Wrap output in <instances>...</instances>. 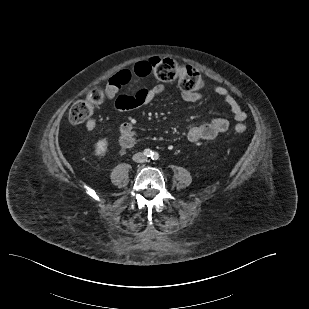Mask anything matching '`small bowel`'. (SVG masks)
Listing matches in <instances>:
<instances>
[{
  "instance_id": "small-bowel-1",
  "label": "small bowel",
  "mask_w": 309,
  "mask_h": 309,
  "mask_svg": "<svg viewBox=\"0 0 309 309\" xmlns=\"http://www.w3.org/2000/svg\"><path fill=\"white\" fill-rule=\"evenodd\" d=\"M152 72L149 61L136 63L134 66L122 69L111 76L105 88L109 99L117 97L122 87L127 85L134 77H146ZM165 92V86L161 83L149 88H141L133 95H120L116 98V107L121 111H127L142 105L150 104L156 97ZM214 92L221 97L230 108L234 120L243 123L246 114L234 96L222 86H216ZM183 99L189 103L198 102L201 94L198 92H183ZM229 128V121L225 118H213L201 125L193 126L188 130L187 137L191 142L201 140H212L220 134L226 132ZM120 145L125 148H131L136 143L135 131L132 123L125 122L120 126Z\"/></svg>"
}]
</instances>
